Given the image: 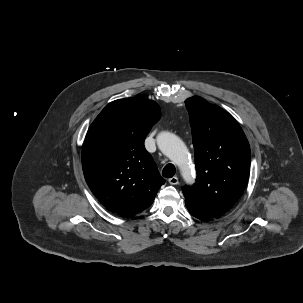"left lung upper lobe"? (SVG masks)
<instances>
[{
	"label": "left lung upper lobe",
	"mask_w": 303,
	"mask_h": 303,
	"mask_svg": "<svg viewBox=\"0 0 303 303\" xmlns=\"http://www.w3.org/2000/svg\"><path fill=\"white\" fill-rule=\"evenodd\" d=\"M190 116L196 183L183 187L186 206L220 218L239 200L250 173V147L237 121L201 97L186 101Z\"/></svg>",
	"instance_id": "5c2ea615"
}]
</instances>
